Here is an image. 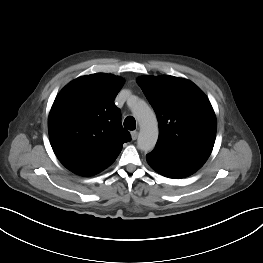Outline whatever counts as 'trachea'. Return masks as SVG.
<instances>
[{"instance_id":"1","label":"trachea","mask_w":263,"mask_h":263,"mask_svg":"<svg viewBox=\"0 0 263 263\" xmlns=\"http://www.w3.org/2000/svg\"><path fill=\"white\" fill-rule=\"evenodd\" d=\"M124 127L128 130H135L136 129L135 118L132 116L126 117V119L124 120Z\"/></svg>"}]
</instances>
